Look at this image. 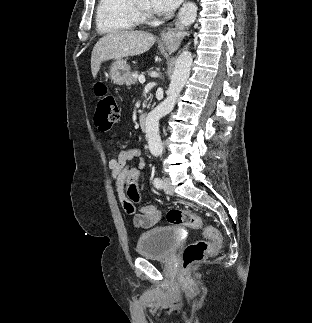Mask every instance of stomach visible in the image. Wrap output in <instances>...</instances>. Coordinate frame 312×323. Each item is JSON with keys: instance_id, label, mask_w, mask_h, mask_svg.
<instances>
[{"instance_id": "stomach-1", "label": "stomach", "mask_w": 312, "mask_h": 323, "mask_svg": "<svg viewBox=\"0 0 312 323\" xmlns=\"http://www.w3.org/2000/svg\"><path fill=\"white\" fill-rule=\"evenodd\" d=\"M130 74V68L124 60H116L113 62L112 66H110L109 76L114 82V84H118V86H122L127 82V78Z\"/></svg>"}]
</instances>
